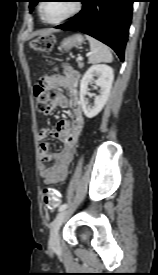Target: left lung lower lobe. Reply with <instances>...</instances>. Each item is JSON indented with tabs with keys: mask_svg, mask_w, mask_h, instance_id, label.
<instances>
[{
	"mask_svg": "<svg viewBox=\"0 0 158 275\" xmlns=\"http://www.w3.org/2000/svg\"><path fill=\"white\" fill-rule=\"evenodd\" d=\"M83 9L56 28L81 31L110 46L121 61L132 19L134 0H82Z\"/></svg>",
	"mask_w": 158,
	"mask_h": 275,
	"instance_id": "obj_1",
	"label": "left lung lower lobe"
}]
</instances>
